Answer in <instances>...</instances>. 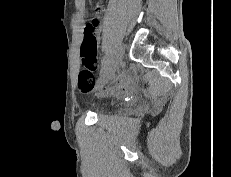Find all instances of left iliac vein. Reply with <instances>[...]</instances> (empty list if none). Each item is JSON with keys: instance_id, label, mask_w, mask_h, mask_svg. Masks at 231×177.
<instances>
[{"instance_id": "1", "label": "left iliac vein", "mask_w": 231, "mask_h": 177, "mask_svg": "<svg viewBox=\"0 0 231 177\" xmlns=\"http://www.w3.org/2000/svg\"><path fill=\"white\" fill-rule=\"evenodd\" d=\"M125 47L124 44L120 43L116 50L114 51L113 57H112V63L110 67L108 68L107 72L105 73L104 77L101 79V83H106L108 80L112 78L115 71L118 69L123 56H124Z\"/></svg>"}]
</instances>
